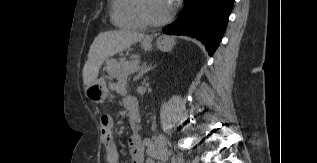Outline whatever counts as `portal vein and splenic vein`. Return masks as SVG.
I'll use <instances>...</instances> for the list:
<instances>
[{
    "label": "portal vein and splenic vein",
    "mask_w": 317,
    "mask_h": 163,
    "mask_svg": "<svg viewBox=\"0 0 317 163\" xmlns=\"http://www.w3.org/2000/svg\"><path fill=\"white\" fill-rule=\"evenodd\" d=\"M137 68H138V64H137L136 66L130 68L129 70L124 71V72L121 74V77L127 76V75L133 73Z\"/></svg>",
    "instance_id": "18ae733b"
}]
</instances>
